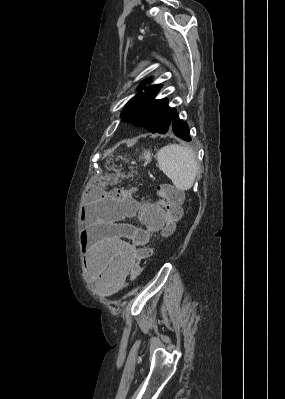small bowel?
Listing matches in <instances>:
<instances>
[{
    "label": "small bowel",
    "mask_w": 285,
    "mask_h": 399,
    "mask_svg": "<svg viewBox=\"0 0 285 399\" xmlns=\"http://www.w3.org/2000/svg\"><path fill=\"white\" fill-rule=\"evenodd\" d=\"M117 215L123 219L137 216L142 226L128 224L120 230L119 235L100 231L99 245L90 248L88 268L98 279L99 287L110 294L121 290L134 277L131 269L137 250L146 246L150 236L157 233L169 219L168 213L158 204L147 206L139 200L122 207Z\"/></svg>",
    "instance_id": "1"
}]
</instances>
